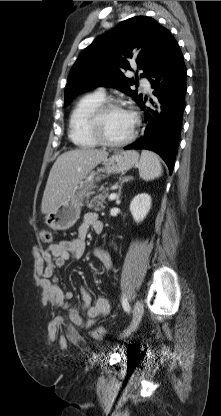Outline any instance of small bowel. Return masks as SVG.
Here are the masks:
<instances>
[{
    "label": "small bowel",
    "mask_w": 221,
    "mask_h": 416,
    "mask_svg": "<svg viewBox=\"0 0 221 416\" xmlns=\"http://www.w3.org/2000/svg\"><path fill=\"white\" fill-rule=\"evenodd\" d=\"M90 229L97 234L103 231V223L94 212H87L84 214L75 238L52 244L39 253L43 266L41 273L38 275V279L45 286L49 301L55 307L67 310L70 321L74 325L82 328L93 326L100 316L109 313V300L106 297L101 296L92 303L90 293L84 287H80L82 309L86 313V318H83L80 310L69 303L73 298V292L63 290L59 286L55 272L57 269L65 266L69 259H80L83 256L85 251V239ZM95 255L107 270L112 268V260L107 252L97 249L95 250Z\"/></svg>",
    "instance_id": "c3829d8e"
}]
</instances>
